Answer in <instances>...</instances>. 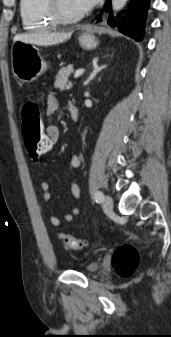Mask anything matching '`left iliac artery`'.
Here are the masks:
<instances>
[{"label":"left iliac artery","instance_id":"left-iliac-artery-1","mask_svg":"<svg viewBox=\"0 0 171 337\" xmlns=\"http://www.w3.org/2000/svg\"><path fill=\"white\" fill-rule=\"evenodd\" d=\"M94 199L97 203H101L104 200V195L101 191H97L94 194Z\"/></svg>","mask_w":171,"mask_h":337}]
</instances>
